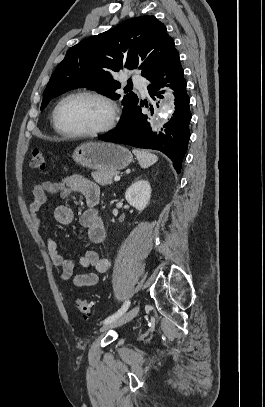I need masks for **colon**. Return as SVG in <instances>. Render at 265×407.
<instances>
[{
    "label": "colon",
    "mask_w": 265,
    "mask_h": 407,
    "mask_svg": "<svg viewBox=\"0 0 265 407\" xmlns=\"http://www.w3.org/2000/svg\"><path fill=\"white\" fill-rule=\"evenodd\" d=\"M44 166H45L44 152L40 149H34L31 155L30 167L32 169H43ZM75 305L78 308L80 314L84 318H89L92 315L93 313L92 304L89 301L77 298L75 300Z\"/></svg>",
    "instance_id": "5ec220e1"
}]
</instances>
